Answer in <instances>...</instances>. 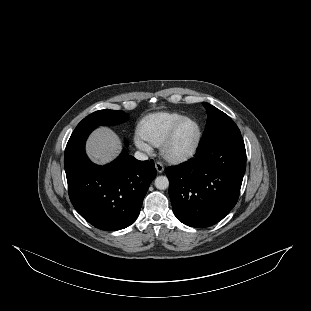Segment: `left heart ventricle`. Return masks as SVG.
Returning <instances> with one entry per match:
<instances>
[{
	"label": "left heart ventricle",
	"instance_id": "1",
	"mask_svg": "<svg viewBox=\"0 0 311 311\" xmlns=\"http://www.w3.org/2000/svg\"><path fill=\"white\" fill-rule=\"evenodd\" d=\"M197 126L194 122L185 123L179 130L174 148L179 152L189 150L196 138Z\"/></svg>",
	"mask_w": 311,
	"mask_h": 311
}]
</instances>
